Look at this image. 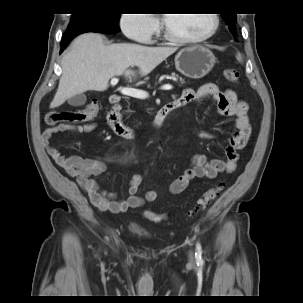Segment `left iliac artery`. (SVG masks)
I'll list each match as a JSON object with an SVG mask.
<instances>
[{
  "label": "left iliac artery",
  "mask_w": 303,
  "mask_h": 303,
  "mask_svg": "<svg viewBox=\"0 0 303 303\" xmlns=\"http://www.w3.org/2000/svg\"><path fill=\"white\" fill-rule=\"evenodd\" d=\"M195 257H196L198 262H202V247H201V244L199 242L196 244Z\"/></svg>",
  "instance_id": "obj_1"
}]
</instances>
